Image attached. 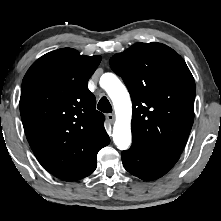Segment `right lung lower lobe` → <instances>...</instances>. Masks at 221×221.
Returning a JSON list of instances; mask_svg holds the SVG:
<instances>
[{
    "instance_id": "1",
    "label": "right lung lower lobe",
    "mask_w": 221,
    "mask_h": 221,
    "mask_svg": "<svg viewBox=\"0 0 221 221\" xmlns=\"http://www.w3.org/2000/svg\"><path fill=\"white\" fill-rule=\"evenodd\" d=\"M109 142H110V140L107 143H105L102 147L108 145ZM98 151H96L92 155L91 159L84 165V167L81 170H79L75 175H73L72 177H70L67 180L68 181H76V180L83 179V178L87 177L88 175H90L96 169V166H97L96 160H97Z\"/></svg>"
}]
</instances>
